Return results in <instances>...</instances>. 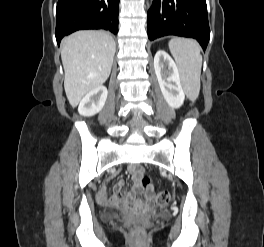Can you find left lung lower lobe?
Listing matches in <instances>:
<instances>
[{
	"label": "left lung lower lobe",
	"mask_w": 264,
	"mask_h": 247,
	"mask_svg": "<svg viewBox=\"0 0 264 247\" xmlns=\"http://www.w3.org/2000/svg\"><path fill=\"white\" fill-rule=\"evenodd\" d=\"M148 38L176 35L196 39L206 49L210 38L206 0H154L148 11Z\"/></svg>",
	"instance_id": "left-lung-lower-lobe-1"
}]
</instances>
